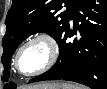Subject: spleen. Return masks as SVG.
Returning a JSON list of instances; mask_svg holds the SVG:
<instances>
[{
	"instance_id": "obj_1",
	"label": "spleen",
	"mask_w": 107,
	"mask_h": 89,
	"mask_svg": "<svg viewBox=\"0 0 107 89\" xmlns=\"http://www.w3.org/2000/svg\"><path fill=\"white\" fill-rule=\"evenodd\" d=\"M63 89H84L83 86L81 85H73V84H63L62 85Z\"/></svg>"
}]
</instances>
